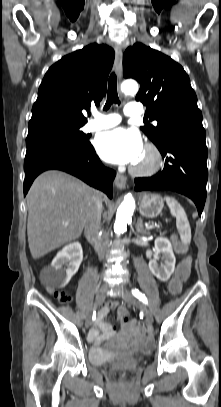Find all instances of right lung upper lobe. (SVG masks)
<instances>
[{
	"label": "right lung upper lobe",
	"mask_w": 221,
	"mask_h": 407,
	"mask_svg": "<svg viewBox=\"0 0 221 407\" xmlns=\"http://www.w3.org/2000/svg\"><path fill=\"white\" fill-rule=\"evenodd\" d=\"M114 50L91 44L52 65L39 87L28 127L54 123L85 124V110L99 104L114 62Z\"/></svg>",
	"instance_id": "right-lung-upper-lobe-1"
}]
</instances>
